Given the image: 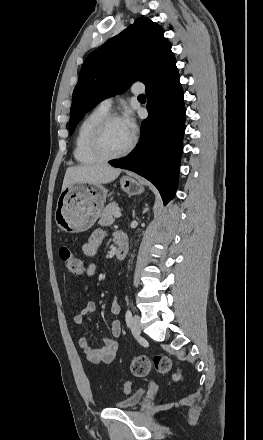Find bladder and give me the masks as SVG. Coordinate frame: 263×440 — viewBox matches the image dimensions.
Listing matches in <instances>:
<instances>
[{
	"mask_svg": "<svg viewBox=\"0 0 263 440\" xmlns=\"http://www.w3.org/2000/svg\"><path fill=\"white\" fill-rule=\"evenodd\" d=\"M144 394H145V391L143 389H138L134 393H132L129 396L125 397L124 399L118 401L115 404V407L117 409H122V410L132 409L139 404V402L142 400Z\"/></svg>",
	"mask_w": 263,
	"mask_h": 440,
	"instance_id": "1",
	"label": "bladder"
}]
</instances>
